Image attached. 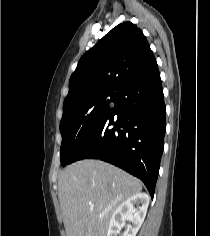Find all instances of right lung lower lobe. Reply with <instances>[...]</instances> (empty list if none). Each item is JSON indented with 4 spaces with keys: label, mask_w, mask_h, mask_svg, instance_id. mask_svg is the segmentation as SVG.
I'll return each instance as SVG.
<instances>
[{
    "label": "right lung lower lobe",
    "mask_w": 210,
    "mask_h": 236,
    "mask_svg": "<svg viewBox=\"0 0 210 236\" xmlns=\"http://www.w3.org/2000/svg\"><path fill=\"white\" fill-rule=\"evenodd\" d=\"M71 161L100 159L140 178L154 196L166 130L158 66L125 84Z\"/></svg>",
    "instance_id": "98d812e1"
}]
</instances>
